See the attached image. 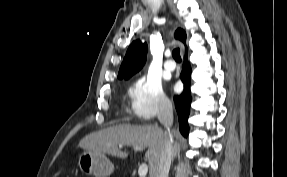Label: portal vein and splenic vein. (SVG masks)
Masks as SVG:
<instances>
[{
    "mask_svg": "<svg viewBox=\"0 0 287 177\" xmlns=\"http://www.w3.org/2000/svg\"><path fill=\"white\" fill-rule=\"evenodd\" d=\"M120 147L122 146L120 145ZM133 149L137 151L143 150V148L140 146H133ZM147 172H148V165L146 163L141 164L138 169V176L145 177L147 175Z\"/></svg>",
    "mask_w": 287,
    "mask_h": 177,
    "instance_id": "18ae733b",
    "label": "portal vein and splenic vein"
}]
</instances>
